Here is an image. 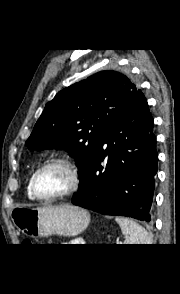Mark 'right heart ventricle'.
I'll use <instances>...</instances> for the list:
<instances>
[{"label":"right heart ventricle","mask_w":180,"mask_h":294,"mask_svg":"<svg viewBox=\"0 0 180 294\" xmlns=\"http://www.w3.org/2000/svg\"><path fill=\"white\" fill-rule=\"evenodd\" d=\"M27 192L29 195H32V192H31V177L28 181V184H27Z\"/></svg>","instance_id":"e07e8e85"}]
</instances>
